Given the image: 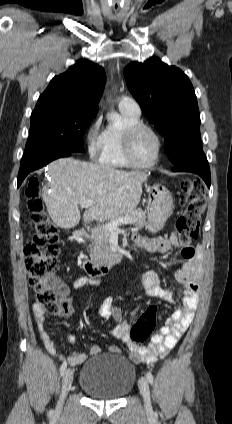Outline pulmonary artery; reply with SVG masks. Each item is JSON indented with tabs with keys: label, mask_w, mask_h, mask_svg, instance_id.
<instances>
[{
	"label": "pulmonary artery",
	"mask_w": 232,
	"mask_h": 424,
	"mask_svg": "<svg viewBox=\"0 0 232 424\" xmlns=\"http://www.w3.org/2000/svg\"><path fill=\"white\" fill-rule=\"evenodd\" d=\"M118 108L120 110L130 111L136 114L141 113V108L139 104L132 98L127 96H122L118 101Z\"/></svg>",
	"instance_id": "obj_1"
}]
</instances>
